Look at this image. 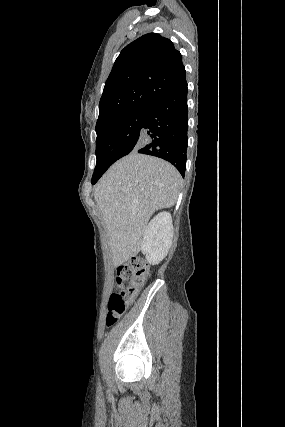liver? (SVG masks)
Returning a JSON list of instances; mask_svg holds the SVG:
<instances>
[{"label":"liver","mask_w":285,"mask_h":427,"mask_svg":"<svg viewBox=\"0 0 285 427\" xmlns=\"http://www.w3.org/2000/svg\"><path fill=\"white\" fill-rule=\"evenodd\" d=\"M182 177L170 163L132 152L113 164L94 190L113 265L136 256L152 214L175 205Z\"/></svg>","instance_id":"liver-1"}]
</instances>
